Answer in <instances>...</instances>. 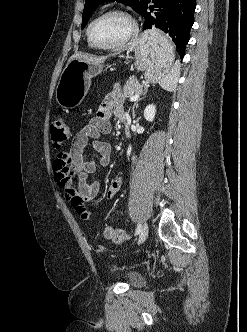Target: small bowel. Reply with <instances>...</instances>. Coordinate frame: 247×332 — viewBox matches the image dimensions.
Segmentation results:
<instances>
[{"label":"small bowel","instance_id":"1","mask_svg":"<svg viewBox=\"0 0 247 332\" xmlns=\"http://www.w3.org/2000/svg\"><path fill=\"white\" fill-rule=\"evenodd\" d=\"M113 112L120 120L126 117L123 96L119 90H114L105 97L97 114L75 135L70 150L60 152L52 165L55 182L84 220L93 217L87 204L98 195L100 189L97 179L89 181L88 178L99 168L107 166L110 161L111 146L101 136L111 132L110 118ZM90 139L92 149L99 155L97 160L87 157L84 153ZM74 176L77 177V183L74 182ZM122 183L121 177H115L107 187L106 198H114Z\"/></svg>","mask_w":247,"mask_h":332}]
</instances>
